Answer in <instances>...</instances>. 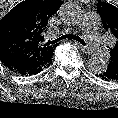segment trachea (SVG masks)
Segmentation results:
<instances>
[{"instance_id": "trachea-1", "label": "trachea", "mask_w": 118, "mask_h": 118, "mask_svg": "<svg viewBox=\"0 0 118 118\" xmlns=\"http://www.w3.org/2000/svg\"><path fill=\"white\" fill-rule=\"evenodd\" d=\"M65 39H72V40H75V41L79 42L82 45H86L83 39H81L79 36L73 35V34L62 35L61 37H59L55 40H51V41L48 40L47 44H58V42H60L62 40H65Z\"/></svg>"}]
</instances>
